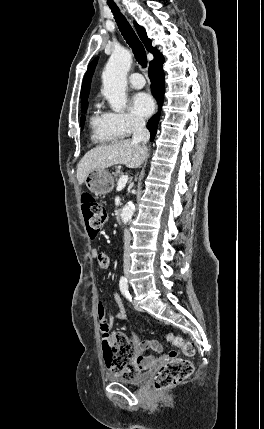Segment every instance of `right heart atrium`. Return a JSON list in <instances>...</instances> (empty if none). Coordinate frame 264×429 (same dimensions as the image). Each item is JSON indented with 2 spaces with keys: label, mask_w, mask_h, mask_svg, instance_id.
<instances>
[{
  "label": "right heart atrium",
  "mask_w": 264,
  "mask_h": 429,
  "mask_svg": "<svg viewBox=\"0 0 264 429\" xmlns=\"http://www.w3.org/2000/svg\"><path fill=\"white\" fill-rule=\"evenodd\" d=\"M114 129L121 137L131 135L143 126V121L129 112H109Z\"/></svg>",
  "instance_id": "d8ad5b80"
}]
</instances>
